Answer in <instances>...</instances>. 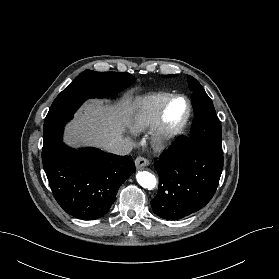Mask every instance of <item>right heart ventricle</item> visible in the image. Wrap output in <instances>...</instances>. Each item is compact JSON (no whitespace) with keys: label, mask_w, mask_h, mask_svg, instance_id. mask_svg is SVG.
<instances>
[{"label":"right heart ventricle","mask_w":279,"mask_h":279,"mask_svg":"<svg viewBox=\"0 0 279 279\" xmlns=\"http://www.w3.org/2000/svg\"><path fill=\"white\" fill-rule=\"evenodd\" d=\"M169 92H156L139 98L131 118V128L143 132L154 126L163 104L172 96Z\"/></svg>","instance_id":"1"}]
</instances>
